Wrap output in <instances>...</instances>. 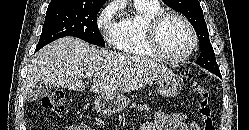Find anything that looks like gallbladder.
Returning a JSON list of instances; mask_svg holds the SVG:
<instances>
[{
  "label": "gallbladder",
  "instance_id": "bac80fb5",
  "mask_svg": "<svg viewBox=\"0 0 249 130\" xmlns=\"http://www.w3.org/2000/svg\"><path fill=\"white\" fill-rule=\"evenodd\" d=\"M52 92V86L43 81H37L27 93V101L34 102L38 98L47 97Z\"/></svg>",
  "mask_w": 249,
  "mask_h": 130
}]
</instances>
